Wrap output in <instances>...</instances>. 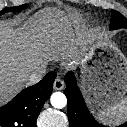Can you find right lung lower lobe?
<instances>
[{
  "label": "right lung lower lobe",
  "instance_id": "right-lung-lower-lobe-1",
  "mask_svg": "<svg viewBox=\"0 0 127 127\" xmlns=\"http://www.w3.org/2000/svg\"><path fill=\"white\" fill-rule=\"evenodd\" d=\"M56 73H48L34 86L21 91L0 108V127H36V119L52 93Z\"/></svg>",
  "mask_w": 127,
  "mask_h": 127
}]
</instances>
